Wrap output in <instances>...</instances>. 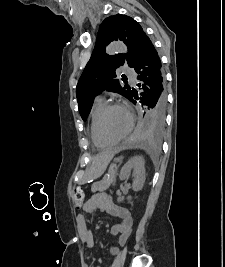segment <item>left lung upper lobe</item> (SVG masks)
<instances>
[{
  "mask_svg": "<svg viewBox=\"0 0 225 267\" xmlns=\"http://www.w3.org/2000/svg\"><path fill=\"white\" fill-rule=\"evenodd\" d=\"M146 36L142 27L133 18L116 14L106 18L100 25L96 45L77 84V101L82 119L85 121L93 104L94 97L104 90L119 93L127 99L131 96V87H122L117 79L116 69L128 64L134 67L141 43ZM114 40L123 41L127 47L126 54L109 56L106 46ZM165 114L155 115L150 109L147 113V128L153 134H160L164 127Z\"/></svg>",
  "mask_w": 225,
  "mask_h": 267,
  "instance_id": "obj_1",
  "label": "left lung upper lobe"
}]
</instances>
